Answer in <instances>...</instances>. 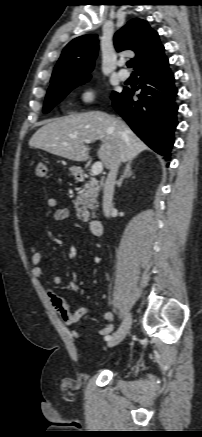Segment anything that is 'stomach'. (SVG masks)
I'll use <instances>...</instances> for the list:
<instances>
[{
	"label": "stomach",
	"instance_id": "1",
	"mask_svg": "<svg viewBox=\"0 0 202 437\" xmlns=\"http://www.w3.org/2000/svg\"><path fill=\"white\" fill-rule=\"evenodd\" d=\"M80 169L76 166L70 168V172L72 175L76 176L79 173Z\"/></svg>",
	"mask_w": 202,
	"mask_h": 437
}]
</instances>
